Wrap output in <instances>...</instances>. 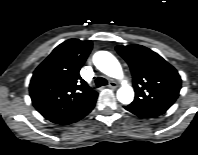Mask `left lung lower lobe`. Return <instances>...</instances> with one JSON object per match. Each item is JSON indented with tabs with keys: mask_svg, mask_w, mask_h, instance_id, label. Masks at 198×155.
<instances>
[{
	"mask_svg": "<svg viewBox=\"0 0 198 155\" xmlns=\"http://www.w3.org/2000/svg\"><path fill=\"white\" fill-rule=\"evenodd\" d=\"M124 108L139 117H145V118L157 117L164 113L163 111H158V110H144L131 105L125 106Z\"/></svg>",
	"mask_w": 198,
	"mask_h": 155,
	"instance_id": "obj_1",
	"label": "left lung lower lobe"
}]
</instances>
